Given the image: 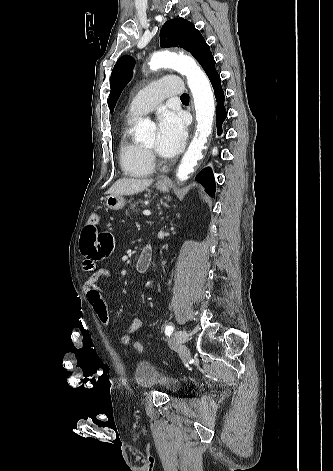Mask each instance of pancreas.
Instances as JSON below:
<instances>
[{
	"label": "pancreas",
	"mask_w": 333,
	"mask_h": 471,
	"mask_svg": "<svg viewBox=\"0 0 333 471\" xmlns=\"http://www.w3.org/2000/svg\"><path fill=\"white\" fill-rule=\"evenodd\" d=\"M142 203H143L142 200H139V201H136V202H134V203H131V204H130V207L126 210V214L129 215V210H135L136 206H137L138 204H142Z\"/></svg>",
	"instance_id": "pancreas-1"
}]
</instances>
